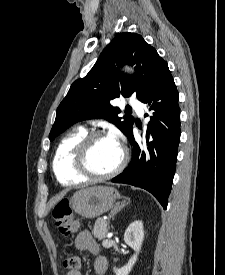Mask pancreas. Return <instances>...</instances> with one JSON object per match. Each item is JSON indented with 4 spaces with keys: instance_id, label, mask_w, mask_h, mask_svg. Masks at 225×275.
I'll use <instances>...</instances> for the list:
<instances>
[{
    "instance_id": "cf45deb5",
    "label": "pancreas",
    "mask_w": 225,
    "mask_h": 275,
    "mask_svg": "<svg viewBox=\"0 0 225 275\" xmlns=\"http://www.w3.org/2000/svg\"><path fill=\"white\" fill-rule=\"evenodd\" d=\"M107 232L108 222L101 218L97 219L92 230V234L94 235V237L98 240H102L106 237Z\"/></svg>"
}]
</instances>
